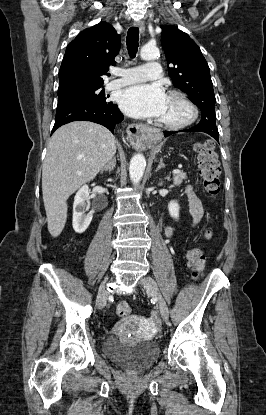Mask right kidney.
<instances>
[{
  "label": "right kidney",
  "instance_id": "ca27d5eb",
  "mask_svg": "<svg viewBox=\"0 0 266 415\" xmlns=\"http://www.w3.org/2000/svg\"><path fill=\"white\" fill-rule=\"evenodd\" d=\"M89 202V188L84 185L78 190L74 198L72 225L76 233L85 232L92 221V213L85 214Z\"/></svg>",
  "mask_w": 266,
  "mask_h": 415
}]
</instances>
